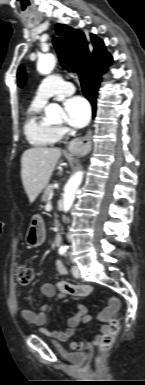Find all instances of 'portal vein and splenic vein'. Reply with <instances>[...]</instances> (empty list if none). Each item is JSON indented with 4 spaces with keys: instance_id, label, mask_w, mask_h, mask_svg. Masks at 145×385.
Returning <instances> with one entry per match:
<instances>
[{
    "instance_id": "18ae733b",
    "label": "portal vein and splenic vein",
    "mask_w": 145,
    "mask_h": 385,
    "mask_svg": "<svg viewBox=\"0 0 145 385\" xmlns=\"http://www.w3.org/2000/svg\"><path fill=\"white\" fill-rule=\"evenodd\" d=\"M51 202H50V199L48 200V203L46 204V209H51Z\"/></svg>"
}]
</instances>
